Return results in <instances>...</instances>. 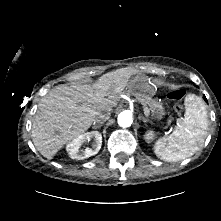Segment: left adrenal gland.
<instances>
[{
  "instance_id": "left-adrenal-gland-1",
  "label": "left adrenal gland",
  "mask_w": 221,
  "mask_h": 221,
  "mask_svg": "<svg viewBox=\"0 0 221 221\" xmlns=\"http://www.w3.org/2000/svg\"><path fill=\"white\" fill-rule=\"evenodd\" d=\"M141 119L144 123H147V122L152 123V121L148 117L141 116Z\"/></svg>"
}]
</instances>
